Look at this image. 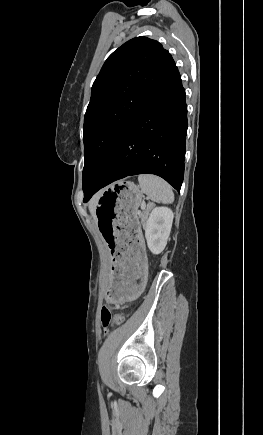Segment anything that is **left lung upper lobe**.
Returning <instances> with one entry per match:
<instances>
[{"label": "left lung upper lobe", "mask_w": 263, "mask_h": 435, "mask_svg": "<svg viewBox=\"0 0 263 435\" xmlns=\"http://www.w3.org/2000/svg\"><path fill=\"white\" fill-rule=\"evenodd\" d=\"M177 71L170 53L147 37L127 41L108 57L93 83L84 117V192L130 123Z\"/></svg>", "instance_id": "left-lung-upper-lobe-1"}]
</instances>
